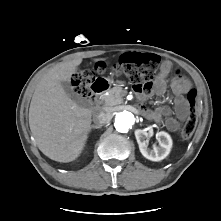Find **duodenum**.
I'll return each mask as SVG.
<instances>
[{
  "label": "duodenum",
  "mask_w": 221,
  "mask_h": 221,
  "mask_svg": "<svg viewBox=\"0 0 221 221\" xmlns=\"http://www.w3.org/2000/svg\"><path fill=\"white\" fill-rule=\"evenodd\" d=\"M108 82L104 79H96L91 85H90V97L94 101L97 97L104 94V92L108 89Z\"/></svg>",
  "instance_id": "410a0bca"
}]
</instances>
